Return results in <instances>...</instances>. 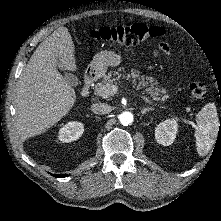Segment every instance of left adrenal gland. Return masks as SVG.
Returning <instances> with one entry per match:
<instances>
[{"instance_id":"1","label":"left adrenal gland","mask_w":221,"mask_h":221,"mask_svg":"<svg viewBox=\"0 0 221 221\" xmlns=\"http://www.w3.org/2000/svg\"><path fill=\"white\" fill-rule=\"evenodd\" d=\"M152 110H153V108H143V109L141 110V113L144 115V114H146L147 112L152 111Z\"/></svg>"}]
</instances>
